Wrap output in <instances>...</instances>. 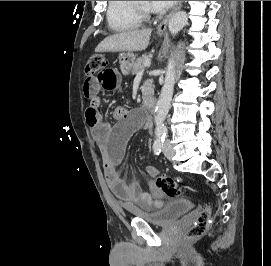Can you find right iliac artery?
<instances>
[{"label": "right iliac artery", "mask_w": 271, "mask_h": 266, "mask_svg": "<svg viewBox=\"0 0 271 266\" xmlns=\"http://www.w3.org/2000/svg\"><path fill=\"white\" fill-rule=\"evenodd\" d=\"M162 142L160 141H156L154 144H153V150H154V153L156 155H159L162 151Z\"/></svg>", "instance_id": "right-iliac-artery-1"}]
</instances>
